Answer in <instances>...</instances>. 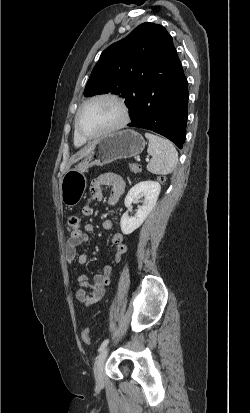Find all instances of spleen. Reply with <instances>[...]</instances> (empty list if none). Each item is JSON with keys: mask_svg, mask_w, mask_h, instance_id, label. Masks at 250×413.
<instances>
[{"mask_svg": "<svg viewBox=\"0 0 250 413\" xmlns=\"http://www.w3.org/2000/svg\"><path fill=\"white\" fill-rule=\"evenodd\" d=\"M145 137L149 140L147 152L152 156L147 170L160 175L172 173L178 163V153L174 145L169 140L151 133H145Z\"/></svg>", "mask_w": 250, "mask_h": 413, "instance_id": "obj_1", "label": "spleen"}]
</instances>
